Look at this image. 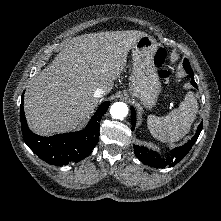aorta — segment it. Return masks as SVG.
I'll return each mask as SVG.
<instances>
[{"label":"aorta","instance_id":"1","mask_svg":"<svg viewBox=\"0 0 221 221\" xmlns=\"http://www.w3.org/2000/svg\"><path fill=\"white\" fill-rule=\"evenodd\" d=\"M110 114L114 119H123L128 114V107L125 103L116 102L110 108Z\"/></svg>","mask_w":221,"mask_h":221}]
</instances>
